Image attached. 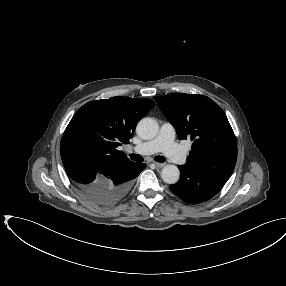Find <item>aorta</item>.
Here are the masks:
<instances>
[{"instance_id":"762f6f07","label":"aorta","mask_w":286,"mask_h":286,"mask_svg":"<svg viewBox=\"0 0 286 286\" xmlns=\"http://www.w3.org/2000/svg\"><path fill=\"white\" fill-rule=\"evenodd\" d=\"M158 123L152 118H143L136 127L139 137L144 140L153 139L158 133ZM161 178L167 184H175L180 178V171L177 166L168 164L161 171Z\"/></svg>"}]
</instances>
